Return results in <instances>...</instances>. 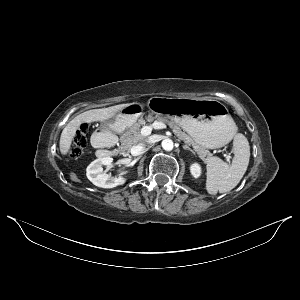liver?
<instances>
[{
	"instance_id": "obj_1",
	"label": "liver",
	"mask_w": 300,
	"mask_h": 300,
	"mask_svg": "<svg viewBox=\"0 0 300 300\" xmlns=\"http://www.w3.org/2000/svg\"><path fill=\"white\" fill-rule=\"evenodd\" d=\"M127 105L128 104H120L108 108L93 109V110L83 112L78 116H76L65 126V128L61 133L60 142H59L60 152L63 155H67V153L71 148L72 141L75 137L76 130L79 128L80 124L97 122V121L103 122L105 120H108L114 117V115L119 110H121L123 107Z\"/></svg>"
}]
</instances>
